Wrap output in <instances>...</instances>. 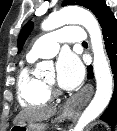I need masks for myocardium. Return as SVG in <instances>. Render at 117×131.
<instances>
[{
  "label": "myocardium",
  "instance_id": "1",
  "mask_svg": "<svg viewBox=\"0 0 117 131\" xmlns=\"http://www.w3.org/2000/svg\"><path fill=\"white\" fill-rule=\"evenodd\" d=\"M44 82H45V84L47 85V87H48L54 94H59V93H60L57 89H55V86H54V82H53V81L45 80Z\"/></svg>",
  "mask_w": 117,
  "mask_h": 131
}]
</instances>
